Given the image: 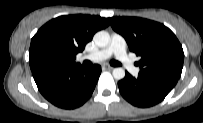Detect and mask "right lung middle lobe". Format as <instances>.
<instances>
[{"label": "right lung middle lobe", "instance_id": "obj_1", "mask_svg": "<svg viewBox=\"0 0 203 123\" xmlns=\"http://www.w3.org/2000/svg\"><path fill=\"white\" fill-rule=\"evenodd\" d=\"M29 64L31 70L44 67L65 66L69 64L67 53L59 43L43 39L30 45Z\"/></svg>", "mask_w": 203, "mask_h": 123}]
</instances>
